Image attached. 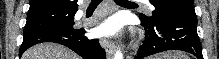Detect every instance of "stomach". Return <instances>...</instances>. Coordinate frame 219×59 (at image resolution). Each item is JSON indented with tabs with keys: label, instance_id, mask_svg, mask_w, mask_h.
<instances>
[{
	"label": "stomach",
	"instance_id": "obj_1",
	"mask_svg": "<svg viewBox=\"0 0 219 59\" xmlns=\"http://www.w3.org/2000/svg\"><path fill=\"white\" fill-rule=\"evenodd\" d=\"M163 57V58H162ZM164 57H167L165 55H162V56H158L156 59H164ZM166 59V58H165ZM168 59V58H167Z\"/></svg>",
	"mask_w": 219,
	"mask_h": 59
}]
</instances>
